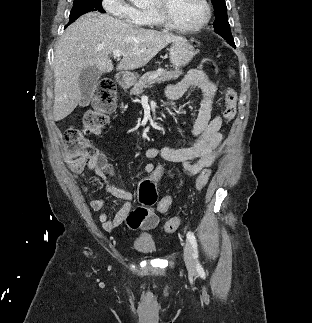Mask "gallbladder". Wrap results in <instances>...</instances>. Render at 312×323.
<instances>
[{
  "label": "gallbladder",
  "instance_id": "1",
  "mask_svg": "<svg viewBox=\"0 0 312 323\" xmlns=\"http://www.w3.org/2000/svg\"><path fill=\"white\" fill-rule=\"evenodd\" d=\"M100 76H102V72L99 68H95V66H89V68L82 70L79 76L80 106H88L90 104Z\"/></svg>",
  "mask_w": 312,
  "mask_h": 323
}]
</instances>
